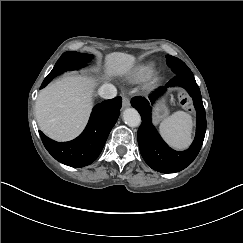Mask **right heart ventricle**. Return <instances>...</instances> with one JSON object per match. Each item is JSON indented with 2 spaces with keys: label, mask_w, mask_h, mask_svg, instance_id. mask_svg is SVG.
<instances>
[{
  "label": "right heart ventricle",
  "mask_w": 243,
  "mask_h": 243,
  "mask_svg": "<svg viewBox=\"0 0 243 243\" xmlns=\"http://www.w3.org/2000/svg\"><path fill=\"white\" fill-rule=\"evenodd\" d=\"M156 69L154 62H140L131 66L123 79L130 84H138L149 79Z\"/></svg>",
  "instance_id": "e07e8e85"
}]
</instances>
